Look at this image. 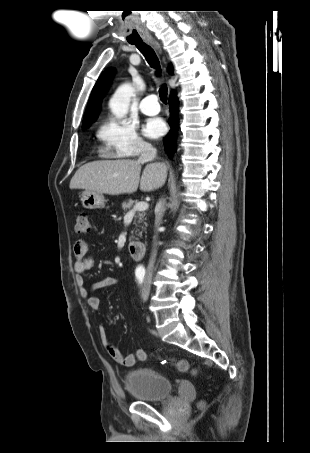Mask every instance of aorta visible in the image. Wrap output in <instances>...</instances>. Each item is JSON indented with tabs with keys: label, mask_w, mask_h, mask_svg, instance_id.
Instances as JSON below:
<instances>
[{
	"label": "aorta",
	"mask_w": 310,
	"mask_h": 453,
	"mask_svg": "<svg viewBox=\"0 0 310 453\" xmlns=\"http://www.w3.org/2000/svg\"><path fill=\"white\" fill-rule=\"evenodd\" d=\"M134 91V87L130 83L119 86L115 91L109 102V107L117 118H122L127 114Z\"/></svg>",
	"instance_id": "762f6f07"
}]
</instances>
